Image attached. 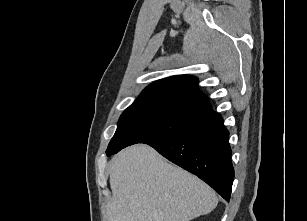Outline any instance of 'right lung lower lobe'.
Instances as JSON below:
<instances>
[{
  "label": "right lung lower lobe",
  "mask_w": 307,
  "mask_h": 221,
  "mask_svg": "<svg viewBox=\"0 0 307 221\" xmlns=\"http://www.w3.org/2000/svg\"><path fill=\"white\" fill-rule=\"evenodd\" d=\"M228 137L222 117L211 110L185 130L148 145L197 175L228 201L234 180Z\"/></svg>",
  "instance_id": "obj_1"
}]
</instances>
